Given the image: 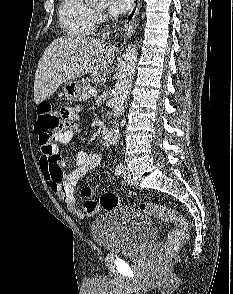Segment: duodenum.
<instances>
[{
	"label": "duodenum",
	"instance_id": "obj_1",
	"mask_svg": "<svg viewBox=\"0 0 233 294\" xmlns=\"http://www.w3.org/2000/svg\"><path fill=\"white\" fill-rule=\"evenodd\" d=\"M108 133V128L105 125L99 127L97 133L98 140L104 146L108 145L109 143Z\"/></svg>",
	"mask_w": 233,
	"mask_h": 294
}]
</instances>
